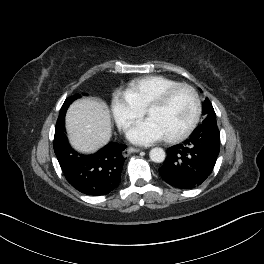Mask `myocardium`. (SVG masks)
Instances as JSON below:
<instances>
[{
  "label": "myocardium",
  "mask_w": 264,
  "mask_h": 264,
  "mask_svg": "<svg viewBox=\"0 0 264 264\" xmlns=\"http://www.w3.org/2000/svg\"><path fill=\"white\" fill-rule=\"evenodd\" d=\"M182 89H186L192 94L194 104H195L194 115H193V118L190 124L185 130H183L177 135L164 137L165 141L168 143H177V142H180L186 139L197 127L201 114H202V104H201V100H200L197 90L189 84H185V83L176 84L164 90L145 109V114L148 116L151 110L165 106L168 103V101L172 98V96L176 92Z\"/></svg>",
  "instance_id": "myocardium-1"
}]
</instances>
